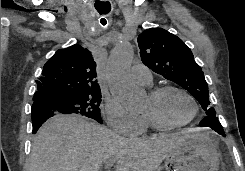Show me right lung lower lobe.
Masks as SVG:
<instances>
[{"label":"right lung lower lobe","instance_id":"right-lung-lower-lobe-1","mask_svg":"<svg viewBox=\"0 0 245 171\" xmlns=\"http://www.w3.org/2000/svg\"><path fill=\"white\" fill-rule=\"evenodd\" d=\"M62 114L45 101H36L32 105L33 133H36L40 126L50 117Z\"/></svg>","mask_w":245,"mask_h":171}]
</instances>
